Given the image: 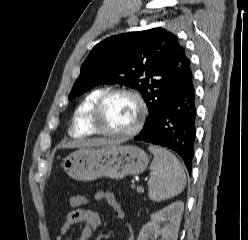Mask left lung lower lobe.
<instances>
[{"label": "left lung lower lobe", "mask_w": 248, "mask_h": 240, "mask_svg": "<svg viewBox=\"0 0 248 240\" xmlns=\"http://www.w3.org/2000/svg\"><path fill=\"white\" fill-rule=\"evenodd\" d=\"M196 119L195 88L192 80L168 97L164 106L135 139L173 149L191 172Z\"/></svg>", "instance_id": "left-lung-lower-lobe-1"}]
</instances>
